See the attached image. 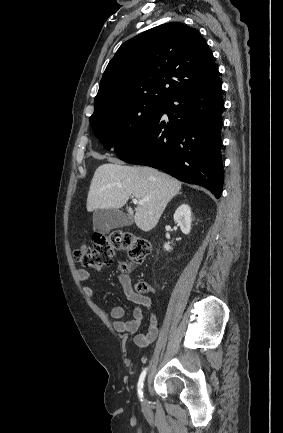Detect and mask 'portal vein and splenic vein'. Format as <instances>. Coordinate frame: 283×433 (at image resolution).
<instances>
[{"label": "portal vein and splenic vein", "instance_id": "portal-vein-and-splenic-vein-1", "mask_svg": "<svg viewBox=\"0 0 283 433\" xmlns=\"http://www.w3.org/2000/svg\"><path fill=\"white\" fill-rule=\"evenodd\" d=\"M132 202H134V204H144L145 200H137V198H132Z\"/></svg>", "mask_w": 283, "mask_h": 433}]
</instances>
